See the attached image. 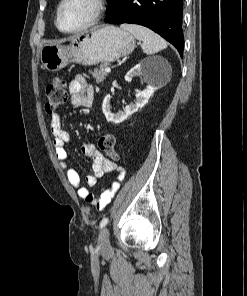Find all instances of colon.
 <instances>
[{
    "label": "colon",
    "instance_id": "1",
    "mask_svg": "<svg viewBox=\"0 0 247 296\" xmlns=\"http://www.w3.org/2000/svg\"><path fill=\"white\" fill-rule=\"evenodd\" d=\"M67 93L65 81L62 78H55L46 87V104L47 113H53L66 103ZM98 146L106 156L111 160L118 159L116 140L112 134H104L99 138Z\"/></svg>",
    "mask_w": 247,
    "mask_h": 296
}]
</instances>
